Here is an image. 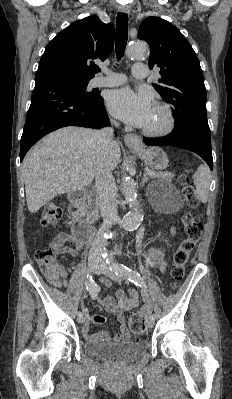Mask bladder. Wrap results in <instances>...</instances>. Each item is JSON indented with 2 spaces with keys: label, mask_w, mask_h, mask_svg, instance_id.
I'll return each mask as SVG.
<instances>
[{
  "label": "bladder",
  "mask_w": 232,
  "mask_h": 399,
  "mask_svg": "<svg viewBox=\"0 0 232 399\" xmlns=\"http://www.w3.org/2000/svg\"><path fill=\"white\" fill-rule=\"evenodd\" d=\"M147 350L145 341L87 342L82 346L86 357L118 364L133 362L145 355Z\"/></svg>",
  "instance_id": "1"
}]
</instances>
